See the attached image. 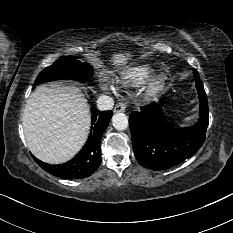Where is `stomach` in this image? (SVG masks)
I'll use <instances>...</instances> for the list:
<instances>
[{"label": "stomach", "instance_id": "0dacf381", "mask_svg": "<svg viewBox=\"0 0 233 233\" xmlns=\"http://www.w3.org/2000/svg\"><path fill=\"white\" fill-rule=\"evenodd\" d=\"M126 55H127V57H129V56H130V55H129V53H127Z\"/></svg>", "mask_w": 233, "mask_h": 233}]
</instances>
